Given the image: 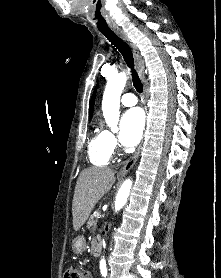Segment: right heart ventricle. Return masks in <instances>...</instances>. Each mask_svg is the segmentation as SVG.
<instances>
[{
	"label": "right heart ventricle",
	"mask_w": 221,
	"mask_h": 278,
	"mask_svg": "<svg viewBox=\"0 0 221 278\" xmlns=\"http://www.w3.org/2000/svg\"><path fill=\"white\" fill-rule=\"evenodd\" d=\"M112 152L106 133L103 130H96L89 142V158L92 164L97 166L108 165Z\"/></svg>",
	"instance_id": "e07e8e85"
}]
</instances>
